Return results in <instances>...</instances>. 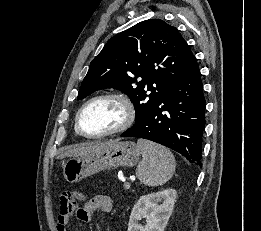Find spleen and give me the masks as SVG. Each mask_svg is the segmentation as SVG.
<instances>
[{
    "instance_id": "3e777b00",
    "label": "spleen",
    "mask_w": 261,
    "mask_h": 231,
    "mask_svg": "<svg viewBox=\"0 0 261 231\" xmlns=\"http://www.w3.org/2000/svg\"><path fill=\"white\" fill-rule=\"evenodd\" d=\"M137 145L143 157L136 169L140 182L151 187L165 184L175 171L173 154L167 148L148 140L139 139Z\"/></svg>"
}]
</instances>
